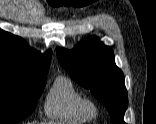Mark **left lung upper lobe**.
Returning <instances> with one entry per match:
<instances>
[{
  "label": "left lung upper lobe",
  "mask_w": 156,
  "mask_h": 124,
  "mask_svg": "<svg viewBox=\"0 0 156 124\" xmlns=\"http://www.w3.org/2000/svg\"><path fill=\"white\" fill-rule=\"evenodd\" d=\"M56 52L68 74L106 106L112 123L126 124L123 117L128 93L124 75L115 64L113 50L97 37H91L71 51L57 47Z\"/></svg>",
  "instance_id": "obj_1"
}]
</instances>
